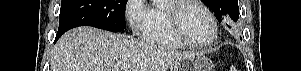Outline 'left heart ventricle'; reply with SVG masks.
I'll use <instances>...</instances> for the list:
<instances>
[{
	"mask_svg": "<svg viewBox=\"0 0 301 71\" xmlns=\"http://www.w3.org/2000/svg\"><path fill=\"white\" fill-rule=\"evenodd\" d=\"M181 20L185 33L191 41L205 43L212 37V23L200 7L191 5L184 9Z\"/></svg>",
	"mask_w": 301,
	"mask_h": 71,
	"instance_id": "1",
	"label": "left heart ventricle"
}]
</instances>
